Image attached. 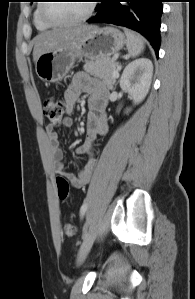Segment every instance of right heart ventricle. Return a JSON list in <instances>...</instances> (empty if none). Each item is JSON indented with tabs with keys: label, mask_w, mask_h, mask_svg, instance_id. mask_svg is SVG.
<instances>
[{
	"label": "right heart ventricle",
	"mask_w": 195,
	"mask_h": 299,
	"mask_svg": "<svg viewBox=\"0 0 195 299\" xmlns=\"http://www.w3.org/2000/svg\"><path fill=\"white\" fill-rule=\"evenodd\" d=\"M42 3H37L33 12V23L38 30L45 31L50 29L52 26L47 24L40 15V6Z\"/></svg>",
	"instance_id": "obj_1"
}]
</instances>
